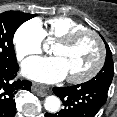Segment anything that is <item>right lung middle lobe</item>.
<instances>
[{"label":"right lung middle lobe","instance_id":"dd1d6c3e","mask_svg":"<svg viewBox=\"0 0 117 117\" xmlns=\"http://www.w3.org/2000/svg\"><path fill=\"white\" fill-rule=\"evenodd\" d=\"M36 14L20 11H6L0 14V65H11L17 62L13 36L17 28Z\"/></svg>","mask_w":117,"mask_h":117}]
</instances>
